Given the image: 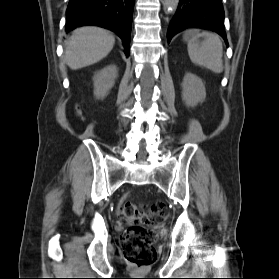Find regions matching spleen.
I'll return each instance as SVG.
<instances>
[{"instance_id": "obj_1", "label": "spleen", "mask_w": 279, "mask_h": 279, "mask_svg": "<svg viewBox=\"0 0 279 279\" xmlns=\"http://www.w3.org/2000/svg\"><path fill=\"white\" fill-rule=\"evenodd\" d=\"M203 37V41L198 39ZM188 54L191 61L206 67L215 73L223 71V46L218 35L202 32L196 33L188 42Z\"/></svg>"}]
</instances>
